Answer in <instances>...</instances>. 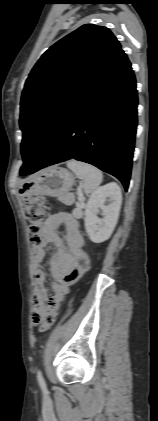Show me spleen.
<instances>
[{
    "instance_id": "spleen-1",
    "label": "spleen",
    "mask_w": 158,
    "mask_h": 421,
    "mask_svg": "<svg viewBox=\"0 0 158 421\" xmlns=\"http://www.w3.org/2000/svg\"><path fill=\"white\" fill-rule=\"evenodd\" d=\"M67 167L82 180L80 189L87 194L94 193L102 182V172L95 166L77 160H70L67 162Z\"/></svg>"
}]
</instances>
